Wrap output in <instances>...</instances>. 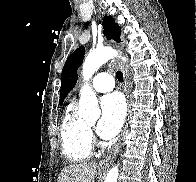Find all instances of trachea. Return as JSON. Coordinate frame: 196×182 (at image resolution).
Segmentation results:
<instances>
[{
	"mask_svg": "<svg viewBox=\"0 0 196 182\" xmlns=\"http://www.w3.org/2000/svg\"><path fill=\"white\" fill-rule=\"evenodd\" d=\"M116 78L118 79L119 82H123L122 72H120V71L116 72Z\"/></svg>",
	"mask_w": 196,
	"mask_h": 182,
	"instance_id": "obj_1",
	"label": "trachea"
}]
</instances>
